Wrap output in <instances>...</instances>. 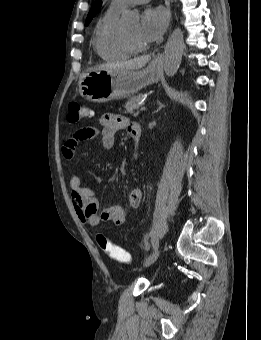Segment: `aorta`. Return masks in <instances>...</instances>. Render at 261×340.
I'll return each instance as SVG.
<instances>
[{
    "label": "aorta",
    "mask_w": 261,
    "mask_h": 340,
    "mask_svg": "<svg viewBox=\"0 0 261 340\" xmlns=\"http://www.w3.org/2000/svg\"><path fill=\"white\" fill-rule=\"evenodd\" d=\"M138 20V15L126 12L123 15V23L130 24ZM184 50V37L182 30L178 27L170 35L164 52V71L168 77L174 76L181 63Z\"/></svg>",
    "instance_id": "762f6f07"
}]
</instances>
